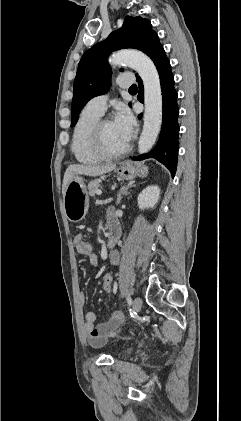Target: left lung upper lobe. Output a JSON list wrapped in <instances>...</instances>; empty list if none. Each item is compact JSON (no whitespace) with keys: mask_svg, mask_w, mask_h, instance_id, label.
I'll use <instances>...</instances> for the list:
<instances>
[{"mask_svg":"<svg viewBox=\"0 0 241 421\" xmlns=\"http://www.w3.org/2000/svg\"><path fill=\"white\" fill-rule=\"evenodd\" d=\"M155 35L149 20L128 16L120 29L83 54L74 80L71 127L76 124L80 111L91 98L108 91L111 81L108 55L124 48H135L145 53Z\"/></svg>","mask_w":241,"mask_h":421,"instance_id":"obj_1","label":"left lung upper lobe"}]
</instances>
